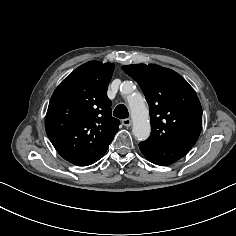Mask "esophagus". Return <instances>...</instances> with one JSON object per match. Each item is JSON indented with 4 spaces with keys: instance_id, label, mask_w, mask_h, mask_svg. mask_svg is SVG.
<instances>
[{
    "instance_id": "obj_1",
    "label": "esophagus",
    "mask_w": 236,
    "mask_h": 236,
    "mask_svg": "<svg viewBox=\"0 0 236 236\" xmlns=\"http://www.w3.org/2000/svg\"><path fill=\"white\" fill-rule=\"evenodd\" d=\"M122 124H123L124 126H126V127H130L131 124H132V121H131V119L126 118V119H123V120H122Z\"/></svg>"
}]
</instances>
